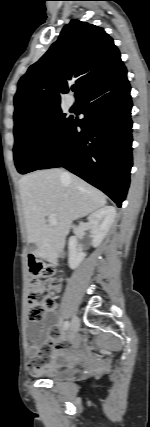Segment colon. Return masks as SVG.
I'll return each instance as SVG.
<instances>
[{"label": "colon", "mask_w": 150, "mask_h": 427, "mask_svg": "<svg viewBox=\"0 0 150 427\" xmlns=\"http://www.w3.org/2000/svg\"><path fill=\"white\" fill-rule=\"evenodd\" d=\"M29 270L31 274L28 286L29 319L39 322L44 318L47 311L54 312L52 292L58 286L55 278V269L44 265L29 254Z\"/></svg>", "instance_id": "colon-1"}]
</instances>
